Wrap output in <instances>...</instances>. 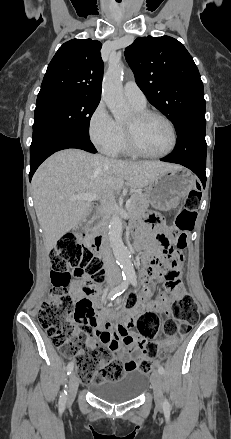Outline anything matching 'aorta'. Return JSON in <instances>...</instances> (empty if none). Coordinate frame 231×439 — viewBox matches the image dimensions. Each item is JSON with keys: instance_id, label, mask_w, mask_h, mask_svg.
I'll return each instance as SVG.
<instances>
[{"instance_id": "aorta-1", "label": "aorta", "mask_w": 231, "mask_h": 439, "mask_svg": "<svg viewBox=\"0 0 231 439\" xmlns=\"http://www.w3.org/2000/svg\"><path fill=\"white\" fill-rule=\"evenodd\" d=\"M124 66L117 62H110L104 75L102 84V98L116 121H124L129 117L130 110L122 94V78ZM123 223L118 214L112 216L109 224V240L114 257L127 278H133L135 271L131 261V254L122 240Z\"/></svg>"}]
</instances>
